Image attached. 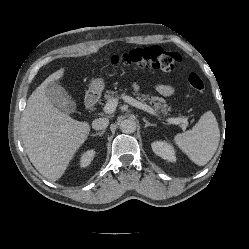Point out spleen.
I'll return each mask as SVG.
<instances>
[{
	"mask_svg": "<svg viewBox=\"0 0 249 249\" xmlns=\"http://www.w3.org/2000/svg\"><path fill=\"white\" fill-rule=\"evenodd\" d=\"M219 140L220 130L212 111L205 112L191 130L174 137L176 145L199 166L211 160Z\"/></svg>",
	"mask_w": 249,
	"mask_h": 249,
	"instance_id": "spleen-1",
	"label": "spleen"
}]
</instances>
